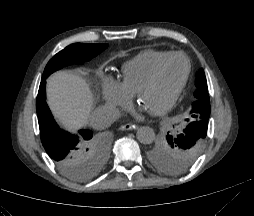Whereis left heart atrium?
<instances>
[{"label":"left heart atrium","instance_id":"39dd6f15","mask_svg":"<svg viewBox=\"0 0 254 216\" xmlns=\"http://www.w3.org/2000/svg\"><path fill=\"white\" fill-rule=\"evenodd\" d=\"M152 112H153L152 109L141 103L136 110V115L142 116L144 113H152Z\"/></svg>","mask_w":254,"mask_h":216}]
</instances>
